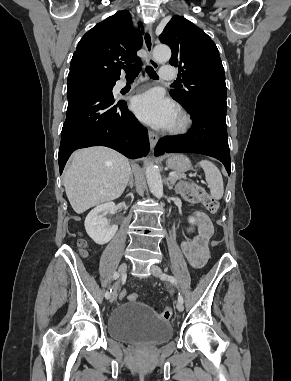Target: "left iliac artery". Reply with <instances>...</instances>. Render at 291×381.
I'll return each instance as SVG.
<instances>
[{
    "instance_id": "obj_1",
    "label": "left iliac artery",
    "mask_w": 291,
    "mask_h": 381,
    "mask_svg": "<svg viewBox=\"0 0 291 381\" xmlns=\"http://www.w3.org/2000/svg\"><path fill=\"white\" fill-rule=\"evenodd\" d=\"M161 278L164 279V280H168L169 282H171V283L177 285V280H176V278H175L174 276H172V275L163 274V275H161ZM178 300L181 301V302H183V297H182V295H181L180 293H179V296H178Z\"/></svg>"
}]
</instances>
